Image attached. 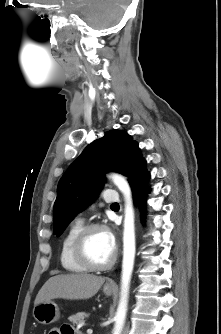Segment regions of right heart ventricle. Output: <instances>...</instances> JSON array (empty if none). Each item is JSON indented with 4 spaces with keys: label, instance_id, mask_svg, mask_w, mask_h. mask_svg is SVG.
<instances>
[{
    "label": "right heart ventricle",
    "instance_id": "1",
    "mask_svg": "<svg viewBox=\"0 0 221 334\" xmlns=\"http://www.w3.org/2000/svg\"><path fill=\"white\" fill-rule=\"evenodd\" d=\"M83 227L81 220L74 221L66 231L60 247V263L62 268L69 273H84L87 269L75 258L73 253L74 240Z\"/></svg>",
    "mask_w": 221,
    "mask_h": 334
}]
</instances>
